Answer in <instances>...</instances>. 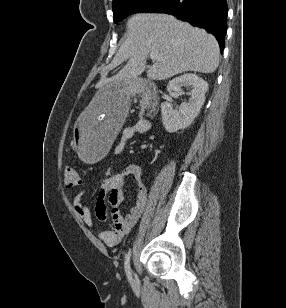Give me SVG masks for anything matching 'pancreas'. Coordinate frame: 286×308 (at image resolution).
Wrapping results in <instances>:
<instances>
[{
  "label": "pancreas",
  "mask_w": 286,
  "mask_h": 308,
  "mask_svg": "<svg viewBox=\"0 0 286 308\" xmlns=\"http://www.w3.org/2000/svg\"><path fill=\"white\" fill-rule=\"evenodd\" d=\"M139 96L141 97V100H140L141 111L139 113V116L143 117L145 113V109L150 107V102H149V97L147 94L142 93V94H139Z\"/></svg>",
  "instance_id": "obj_1"
}]
</instances>
